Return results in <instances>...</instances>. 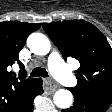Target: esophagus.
<instances>
[{"label": "esophagus", "instance_id": "obj_1", "mask_svg": "<svg viewBox=\"0 0 112 112\" xmlns=\"http://www.w3.org/2000/svg\"><path fill=\"white\" fill-rule=\"evenodd\" d=\"M45 90L49 93H54L58 89V85L50 78L44 79Z\"/></svg>", "mask_w": 112, "mask_h": 112}]
</instances>
